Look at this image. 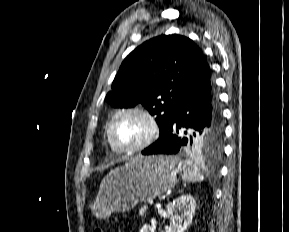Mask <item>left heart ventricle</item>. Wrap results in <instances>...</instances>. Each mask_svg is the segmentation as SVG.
I'll list each match as a JSON object with an SVG mask.
<instances>
[{
	"instance_id": "1",
	"label": "left heart ventricle",
	"mask_w": 289,
	"mask_h": 232,
	"mask_svg": "<svg viewBox=\"0 0 289 232\" xmlns=\"http://www.w3.org/2000/svg\"><path fill=\"white\" fill-rule=\"evenodd\" d=\"M148 133L146 121L136 114L119 116L113 127L115 141L122 146H132L140 143Z\"/></svg>"
}]
</instances>
